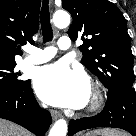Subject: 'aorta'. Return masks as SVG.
<instances>
[{"label":"aorta","instance_id":"aorta-1","mask_svg":"<svg viewBox=\"0 0 136 136\" xmlns=\"http://www.w3.org/2000/svg\"><path fill=\"white\" fill-rule=\"evenodd\" d=\"M53 23L58 28H65L70 24V15L65 11H57L53 15ZM67 122L59 119L49 132V136H66Z\"/></svg>","mask_w":136,"mask_h":136}]
</instances>
